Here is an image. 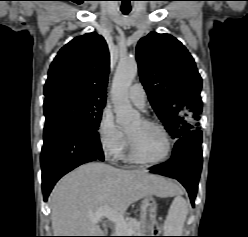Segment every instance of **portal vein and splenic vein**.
<instances>
[{"label": "portal vein and splenic vein", "mask_w": 248, "mask_h": 237, "mask_svg": "<svg viewBox=\"0 0 248 237\" xmlns=\"http://www.w3.org/2000/svg\"><path fill=\"white\" fill-rule=\"evenodd\" d=\"M107 218L108 220L115 223L117 228H126L127 223L123 215L108 206L99 208L94 215L90 217L92 222H98L101 218Z\"/></svg>", "instance_id": "18ae733b"}]
</instances>
